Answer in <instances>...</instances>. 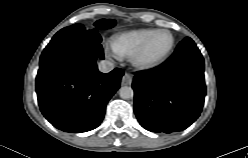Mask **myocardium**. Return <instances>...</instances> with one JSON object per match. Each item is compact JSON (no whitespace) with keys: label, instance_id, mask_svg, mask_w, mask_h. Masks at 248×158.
Returning a JSON list of instances; mask_svg holds the SVG:
<instances>
[{"label":"myocardium","instance_id":"obj_1","mask_svg":"<svg viewBox=\"0 0 248 158\" xmlns=\"http://www.w3.org/2000/svg\"><path fill=\"white\" fill-rule=\"evenodd\" d=\"M159 33H167L170 36V44L168 48L160 56L156 58H147V51H148L149 45L152 39L154 38V36H156ZM174 43H175L174 36L169 30L167 29L154 30L147 37V39L144 41V43L139 48V50L132 56L133 64L136 67L143 69V70L152 69L160 65L162 62H164L168 58V56L172 52Z\"/></svg>","mask_w":248,"mask_h":158}]
</instances>
